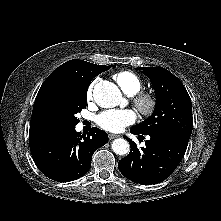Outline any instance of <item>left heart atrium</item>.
Instances as JSON below:
<instances>
[{
    "instance_id": "left-heart-atrium-1",
    "label": "left heart atrium",
    "mask_w": 221,
    "mask_h": 221,
    "mask_svg": "<svg viewBox=\"0 0 221 221\" xmlns=\"http://www.w3.org/2000/svg\"><path fill=\"white\" fill-rule=\"evenodd\" d=\"M136 114L132 110L109 109L101 112L95 118L96 124L109 132H121L125 127L133 124Z\"/></svg>"
}]
</instances>
